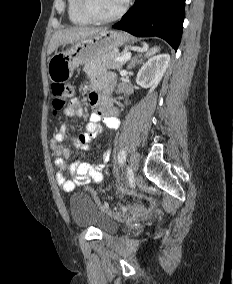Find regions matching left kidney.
Segmentation results:
<instances>
[{
  "instance_id": "1",
  "label": "left kidney",
  "mask_w": 233,
  "mask_h": 284,
  "mask_svg": "<svg viewBox=\"0 0 233 284\" xmlns=\"http://www.w3.org/2000/svg\"><path fill=\"white\" fill-rule=\"evenodd\" d=\"M170 62L169 54L151 57L139 70L136 82L143 88H150V93L157 87Z\"/></svg>"
}]
</instances>
